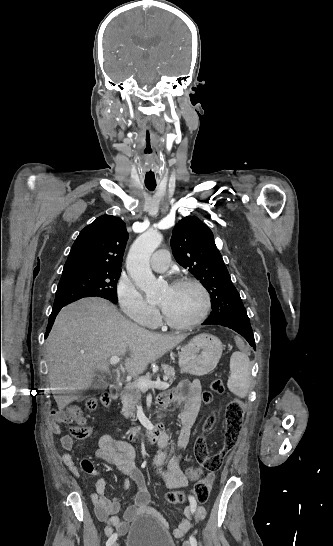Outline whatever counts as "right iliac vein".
I'll return each mask as SVG.
<instances>
[{"instance_id":"right-iliac-vein-1","label":"right iliac vein","mask_w":333,"mask_h":546,"mask_svg":"<svg viewBox=\"0 0 333 546\" xmlns=\"http://www.w3.org/2000/svg\"><path fill=\"white\" fill-rule=\"evenodd\" d=\"M112 546H119V544L117 542L113 543Z\"/></svg>"}]
</instances>
